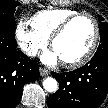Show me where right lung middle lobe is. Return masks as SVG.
<instances>
[{
    "label": "right lung middle lobe",
    "mask_w": 108,
    "mask_h": 108,
    "mask_svg": "<svg viewBox=\"0 0 108 108\" xmlns=\"http://www.w3.org/2000/svg\"><path fill=\"white\" fill-rule=\"evenodd\" d=\"M18 5L19 2L14 0H0V29L14 33V12Z\"/></svg>",
    "instance_id": "right-lung-middle-lobe-1"
}]
</instances>
